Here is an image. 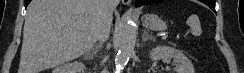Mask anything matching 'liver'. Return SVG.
Here are the masks:
<instances>
[{
    "label": "liver",
    "instance_id": "6515ba94",
    "mask_svg": "<svg viewBox=\"0 0 244 73\" xmlns=\"http://www.w3.org/2000/svg\"><path fill=\"white\" fill-rule=\"evenodd\" d=\"M100 0H32L18 73H40L89 51L100 28Z\"/></svg>",
    "mask_w": 244,
    "mask_h": 73
}]
</instances>
